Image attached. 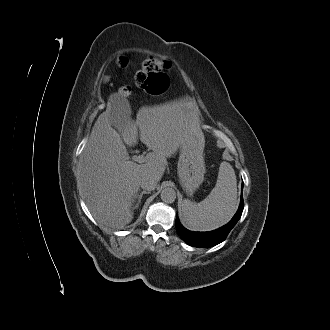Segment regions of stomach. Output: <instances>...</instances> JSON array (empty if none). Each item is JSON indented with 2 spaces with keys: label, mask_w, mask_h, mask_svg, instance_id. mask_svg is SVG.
Here are the masks:
<instances>
[{
  "label": "stomach",
  "mask_w": 330,
  "mask_h": 330,
  "mask_svg": "<svg viewBox=\"0 0 330 330\" xmlns=\"http://www.w3.org/2000/svg\"><path fill=\"white\" fill-rule=\"evenodd\" d=\"M203 149L204 146L198 143H185L180 147L178 177L188 195L194 194L204 180L206 168Z\"/></svg>",
  "instance_id": "0dacf381"
}]
</instances>
